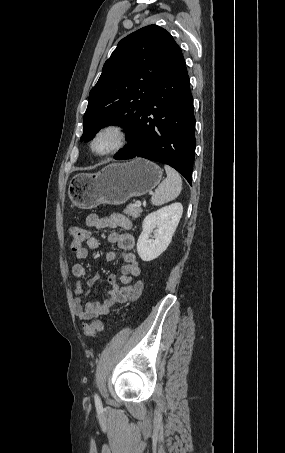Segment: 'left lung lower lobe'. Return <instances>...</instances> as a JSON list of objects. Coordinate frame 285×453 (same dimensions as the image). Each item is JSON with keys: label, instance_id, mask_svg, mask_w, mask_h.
I'll use <instances>...</instances> for the list:
<instances>
[{"label": "left lung lower lobe", "instance_id": "1", "mask_svg": "<svg viewBox=\"0 0 285 453\" xmlns=\"http://www.w3.org/2000/svg\"><path fill=\"white\" fill-rule=\"evenodd\" d=\"M114 158L135 156L167 164L191 184L195 152L193 97L179 48L162 73L152 97Z\"/></svg>", "mask_w": 285, "mask_h": 453}]
</instances>
